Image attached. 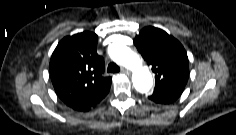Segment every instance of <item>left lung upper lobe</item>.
Instances as JSON below:
<instances>
[{
  "mask_svg": "<svg viewBox=\"0 0 236 135\" xmlns=\"http://www.w3.org/2000/svg\"><path fill=\"white\" fill-rule=\"evenodd\" d=\"M134 44L155 73V89L186 85L188 57L178 40L159 28L145 27Z\"/></svg>",
  "mask_w": 236,
  "mask_h": 135,
  "instance_id": "left-lung-upper-lobe-1",
  "label": "left lung upper lobe"
}]
</instances>
